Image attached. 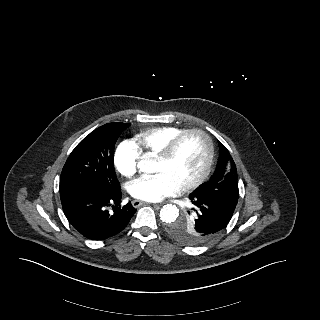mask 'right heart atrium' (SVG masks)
<instances>
[{
  "instance_id": "1",
  "label": "right heart atrium",
  "mask_w": 320,
  "mask_h": 320,
  "mask_svg": "<svg viewBox=\"0 0 320 320\" xmlns=\"http://www.w3.org/2000/svg\"><path fill=\"white\" fill-rule=\"evenodd\" d=\"M140 151L131 140H123L116 148L114 164L117 171L126 178L133 177L138 170Z\"/></svg>"
}]
</instances>
